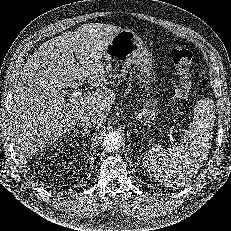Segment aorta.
Masks as SVG:
<instances>
[{"label": "aorta", "mask_w": 231, "mask_h": 231, "mask_svg": "<svg viewBox=\"0 0 231 231\" xmlns=\"http://www.w3.org/2000/svg\"><path fill=\"white\" fill-rule=\"evenodd\" d=\"M122 138L119 133L110 132L103 138L102 147L107 152H114L121 146Z\"/></svg>", "instance_id": "1"}]
</instances>
